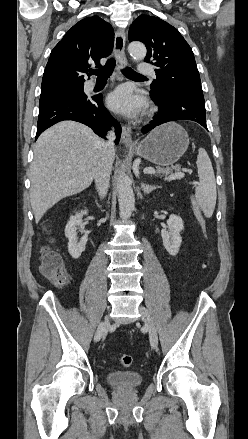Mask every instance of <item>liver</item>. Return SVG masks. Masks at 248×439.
<instances>
[{
    "instance_id": "1",
    "label": "liver",
    "mask_w": 248,
    "mask_h": 439,
    "mask_svg": "<svg viewBox=\"0 0 248 439\" xmlns=\"http://www.w3.org/2000/svg\"><path fill=\"white\" fill-rule=\"evenodd\" d=\"M103 143L89 127L75 121L57 123L39 136L30 167V202L36 223L57 202L91 185Z\"/></svg>"
}]
</instances>
